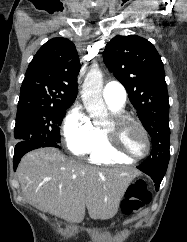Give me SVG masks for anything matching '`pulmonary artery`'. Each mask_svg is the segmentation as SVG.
Masks as SVG:
<instances>
[{
    "mask_svg": "<svg viewBox=\"0 0 187 242\" xmlns=\"http://www.w3.org/2000/svg\"><path fill=\"white\" fill-rule=\"evenodd\" d=\"M102 95L110 109H121L126 103V91L119 82L111 81L107 83Z\"/></svg>",
    "mask_w": 187,
    "mask_h": 242,
    "instance_id": "1",
    "label": "pulmonary artery"
}]
</instances>
